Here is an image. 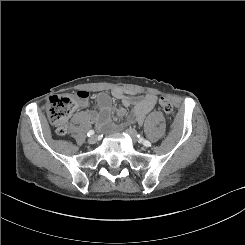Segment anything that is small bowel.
<instances>
[{"label": "small bowel", "instance_id": "1", "mask_svg": "<svg viewBox=\"0 0 245 245\" xmlns=\"http://www.w3.org/2000/svg\"><path fill=\"white\" fill-rule=\"evenodd\" d=\"M112 96L119 100V104L115 106L112 101ZM99 105L98 111H91L90 118L98 127L105 126L113 112L116 113V119L124 123L142 124L145 121L147 114L152 111L157 104V96L154 94H146L143 96L129 95L123 90H113L111 94L108 92H100L97 95ZM86 100H83L80 105L84 106ZM132 107L130 114H126L127 108Z\"/></svg>", "mask_w": 245, "mask_h": 245}]
</instances>
